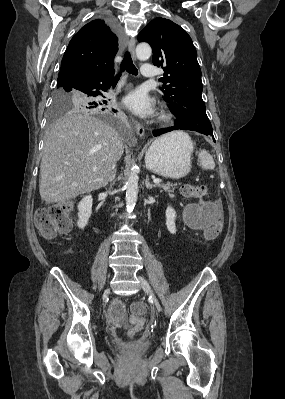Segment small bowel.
Returning a JSON list of instances; mask_svg holds the SVG:
<instances>
[{"label":"small bowel","mask_w":285,"mask_h":399,"mask_svg":"<svg viewBox=\"0 0 285 399\" xmlns=\"http://www.w3.org/2000/svg\"><path fill=\"white\" fill-rule=\"evenodd\" d=\"M216 203L215 201H208L202 207H189L184 213L189 228L201 231L211 227L217 220L216 212L211 209L212 206H216ZM124 311V304L120 300H115L110 306L108 318L115 327H121Z\"/></svg>","instance_id":"obj_1"}]
</instances>
